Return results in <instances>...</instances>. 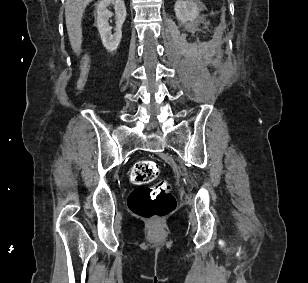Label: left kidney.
Returning <instances> with one entry per match:
<instances>
[{
	"label": "left kidney",
	"instance_id": "obj_1",
	"mask_svg": "<svg viewBox=\"0 0 308 283\" xmlns=\"http://www.w3.org/2000/svg\"><path fill=\"white\" fill-rule=\"evenodd\" d=\"M203 4L199 0H177L174 6L175 15L182 23L194 22L202 10Z\"/></svg>",
	"mask_w": 308,
	"mask_h": 283
}]
</instances>
